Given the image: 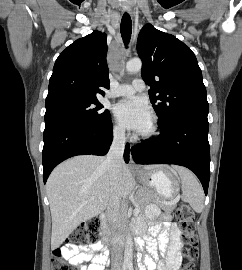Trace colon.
<instances>
[{
	"mask_svg": "<svg viewBox=\"0 0 242 270\" xmlns=\"http://www.w3.org/2000/svg\"><path fill=\"white\" fill-rule=\"evenodd\" d=\"M176 218L183 229L182 255L185 259L182 270H195L194 262L198 258V240L194 226V212L186 204L179 205L175 210ZM101 222L97 219L89 220L81 224L69 236L67 245H80L97 239L100 236ZM63 247L54 251L52 259L53 270H75V266L68 262L63 254Z\"/></svg>",
	"mask_w": 242,
	"mask_h": 270,
	"instance_id": "colon-1",
	"label": "colon"
}]
</instances>
